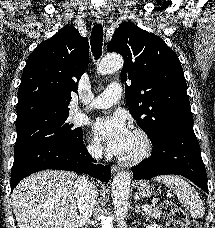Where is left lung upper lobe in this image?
Returning <instances> with one entry per match:
<instances>
[{"mask_svg":"<svg viewBox=\"0 0 215 228\" xmlns=\"http://www.w3.org/2000/svg\"><path fill=\"white\" fill-rule=\"evenodd\" d=\"M107 50L124 58L126 103L151 142L167 129L193 124L179 58L159 36L125 22L115 30Z\"/></svg>","mask_w":215,"mask_h":228,"instance_id":"obj_1","label":"left lung upper lobe"}]
</instances>
